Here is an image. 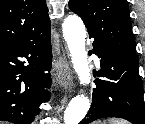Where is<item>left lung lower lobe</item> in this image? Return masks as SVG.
Here are the masks:
<instances>
[{"label": "left lung lower lobe", "instance_id": "obj_1", "mask_svg": "<svg viewBox=\"0 0 145 124\" xmlns=\"http://www.w3.org/2000/svg\"><path fill=\"white\" fill-rule=\"evenodd\" d=\"M93 53L100 58L101 69L93 89L92 105L80 124L105 117H119L133 124H145L143 84L138 61L120 55L93 42Z\"/></svg>", "mask_w": 145, "mask_h": 124}]
</instances>
